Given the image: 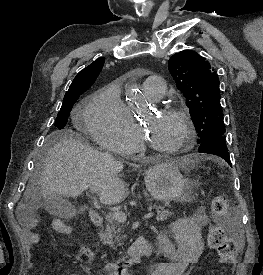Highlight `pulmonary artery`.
<instances>
[{
  "label": "pulmonary artery",
  "mask_w": 263,
  "mask_h": 275,
  "mask_svg": "<svg viewBox=\"0 0 263 275\" xmlns=\"http://www.w3.org/2000/svg\"><path fill=\"white\" fill-rule=\"evenodd\" d=\"M146 94L153 100H159L166 91V85L162 77L152 75L146 78L143 84Z\"/></svg>",
  "instance_id": "1"
}]
</instances>
